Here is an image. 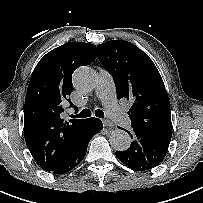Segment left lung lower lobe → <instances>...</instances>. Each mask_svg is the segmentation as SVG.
<instances>
[{
	"mask_svg": "<svg viewBox=\"0 0 203 203\" xmlns=\"http://www.w3.org/2000/svg\"><path fill=\"white\" fill-rule=\"evenodd\" d=\"M131 139L133 141L130 147L125 151H117L116 156L134 171L156 167L164 159L170 144V140L155 137L139 129L132 130Z\"/></svg>",
	"mask_w": 203,
	"mask_h": 203,
	"instance_id": "left-lung-lower-lobe-1",
	"label": "left lung lower lobe"
}]
</instances>
